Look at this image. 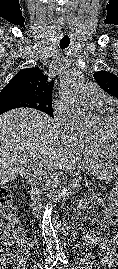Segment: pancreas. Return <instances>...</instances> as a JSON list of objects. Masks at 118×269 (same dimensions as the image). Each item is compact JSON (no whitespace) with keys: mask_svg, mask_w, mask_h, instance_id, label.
I'll list each match as a JSON object with an SVG mask.
<instances>
[{"mask_svg":"<svg viewBox=\"0 0 118 269\" xmlns=\"http://www.w3.org/2000/svg\"><path fill=\"white\" fill-rule=\"evenodd\" d=\"M89 189L93 192H112V187H107V182H90Z\"/></svg>","mask_w":118,"mask_h":269,"instance_id":"1","label":"pancreas"}]
</instances>
